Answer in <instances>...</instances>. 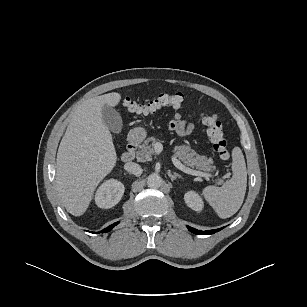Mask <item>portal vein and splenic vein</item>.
I'll use <instances>...</instances> for the list:
<instances>
[{
  "mask_svg": "<svg viewBox=\"0 0 307 307\" xmlns=\"http://www.w3.org/2000/svg\"><path fill=\"white\" fill-rule=\"evenodd\" d=\"M154 149H155V152L156 153H160L163 149V146L161 143H156L154 145ZM171 160L173 162V164L178 168L180 169L181 171L187 173V174H190V175H193V176H200V177H204L206 179H209L210 177H212L211 174H208V173H204V172H201V171H196V170H193V169H190L186 166H184L177 158L176 156H172L171 157Z\"/></svg>",
  "mask_w": 307,
  "mask_h": 307,
  "instance_id": "1",
  "label": "portal vein and splenic vein"
}]
</instances>
